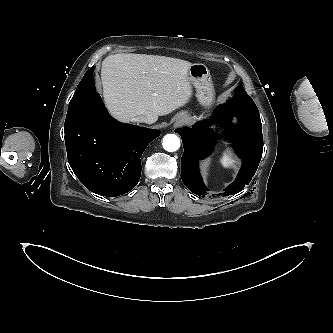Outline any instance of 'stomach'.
<instances>
[{
    "mask_svg": "<svg viewBox=\"0 0 333 333\" xmlns=\"http://www.w3.org/2000/svg\"><path fill=\"white\" fill-rule=\"evenodd\" d=\"M188 78L196 88V97L200 104L207 108L211 107L214 102L215 91L207 66L202 63L192 64L188 71Z\"/></svg>",
    "mask_w": 333,
    "mask_h": 333,
    "instance_id": "0dacf381",
    "label": "stomach"
}]
</instances>
